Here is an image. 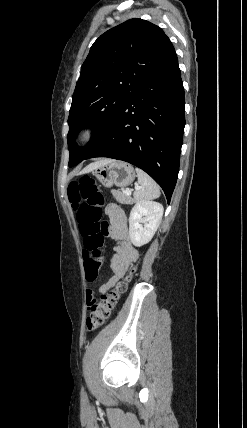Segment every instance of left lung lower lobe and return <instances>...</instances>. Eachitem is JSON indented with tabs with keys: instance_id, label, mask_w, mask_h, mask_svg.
Wrapping results in <instances>:
<instances>
[{
	"instance_id": "obj_1",
	"label": "left lung lower lobe",
	"mask_w": 247,
	"mask_h": 428,
	"mask_svg": "<svg viewBox=\"0 0 247 428\" xmlns=\"http://www.w3.org/2000/svg\"><path fill=\"white\" fill-rule=\"evenodd\" d=\"M185 99L174 52L122 105L85 159L109 157L149 174L170 202L179 172Z\"/></svg>"
}]
</instances>
